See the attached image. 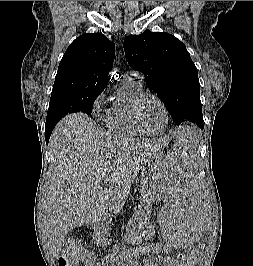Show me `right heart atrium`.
Instances as JSON below:
<instances>
[{
    "label": "right heart atrium",
    "instance_id": "right-heart-atrium-1",
    "mask_svg": "<svg viewBox=\"0 0 253 266\" xmlns=\"http://www.w3.org/2000/svg\"><path fill=\"white\" fill-rule=\"evenodd\" d=\"M93 112L98 116H102L104 113L107 112L105 92L100 93L96 97L93 103Z\"/></svg>",
    "mask_w": 253,
    "mask_h": 266
}]
</instances>
